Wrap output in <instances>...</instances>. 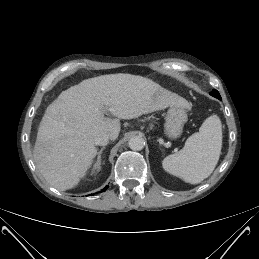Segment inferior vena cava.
Segmentation results:
<instances>
[{
    "instance_id": "602c4592",
    "label": "inferior vena cava",
    "mask_w": 259,
    "mask_h": 259,
    "mask_svg": "<svg viewBox=\"0 0 259 259\" xmlns=\"http://www.w3.org/2000/svg\"><path fill=\"white\" fill-rule=\"evenodd\" d=\"M109 139H110V134L107 132H102V133H99L94 138V143L95 145H98V146H105L109 143Z\"/></svg>"
}]
</instances>
